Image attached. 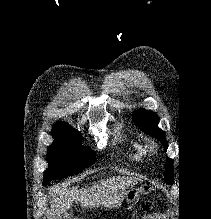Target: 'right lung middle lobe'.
<instances>
[{
	"label": "right lung middle lobe",
	"mask_w": 211,
	"mask_h": 219,
	"mask_svg": "<svg viewBox=\"0 0 211 219\" xmlns=\"http://www.w3.org/2000/svg\"><path fill=\"white\" fill-rule=\"evenodd\" d=\"M52 135L54 142L48 147L49 167L44 173L43 184L76 174L94 163V152L82 147L79 131L65 122H58L52 129Z\"/></svg>",
	"instance_id": "1"
}]
</instances>
